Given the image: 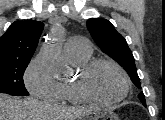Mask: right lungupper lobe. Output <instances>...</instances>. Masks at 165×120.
I'll return each instance as SVG.
<instances>
[{
	"instance_id": "cb5924a9",
	"label": "right lung upper lobe",
	"mask_w": 165,
	"mask_h": 120,
	"mask_svg": "<svg viewBox=\"0 0 165 120\" xmlns=\"http://www.w3.org/2000/svg\"><path fill=\"white\" fill-rule=\"evenodd\" d=\"M39 21H15L0 37V60L31 59L43 31Z\"/></svg>"
}]
</instances>
